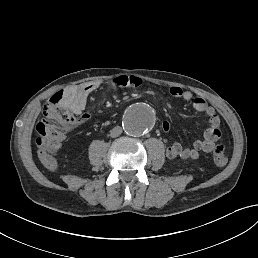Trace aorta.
I'll use <instances>...</instances> for the list:
<instances>
[{"instance_id":"aorta-1","label":"aorta","mask_w":258,"mask_h":258,"mask_svg":"<svg viewBox=\"0 0 258 258\" xmlns=\"http://www.w3.org/2000/svg\"><path fill=\"white\" fill-rule=\"evenodd\" d=\"M155 124V115L146 104L131 106L123 117L125 132L134 137L143 135Z\"/></svg>"}]
</instances>
